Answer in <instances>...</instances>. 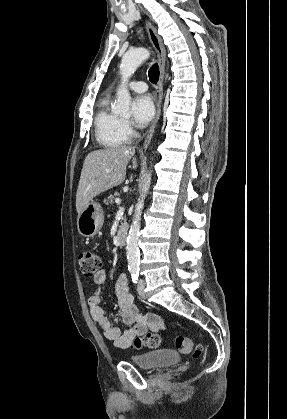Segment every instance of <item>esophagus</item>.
Returning a JSON list of instances; mask_svg holds the SVG:
<instances>
[{"mask_svg":"<svg viewBox=\"0 0 287 419\" xmlns=\"http://www.w3.org/2000/svg\"><path fill=\"white\" fill-rule=\"evenodd\" d=\"M145 27L147 30L149 40L152 46L154 47L157 57H158L160 76H159L158 88H157L158 96L156 100V116L152 122L150 129L147 132V136L143 144V149H147V147L149 146L156 124L161 115V104H162V99H163V81H164V76H165V62H166L165 47L163 45V42L160 36L157 34L156 28L152 25L150 21L145 22Z\"/></svg>","mask_w":287,"mask_h":419,"instance_id":"34e87169","label":"esophagus"}]
</instances>
